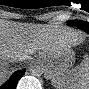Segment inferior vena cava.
Returning a JSON list of instances; mask_svg holds the SVG:
<instances>
[{
    "label": "inferior vena cava",
    "instance_id": "1",
    "mask_svg": "<svg viewBox=\"0 0 89 89\" xmlns=\"http://www.w3.org/2000/svg\"><path fill=\"white\" fill-rule=\"evenodd\" d=\"M18 60L20 61V60H22V58H19Z\"/></svg>",
    "mask_w": 89,
    "mask_h": 89
}]
</instances>
